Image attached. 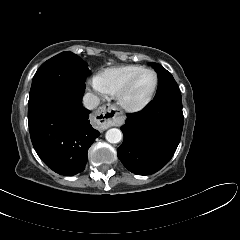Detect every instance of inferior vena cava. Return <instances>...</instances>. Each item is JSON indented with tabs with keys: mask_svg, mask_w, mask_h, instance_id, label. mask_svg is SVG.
<instances>
[{
	"mask_svg": "<svg viewBox=\"0 0 240 240\" xmlns=\"http://www.w3.org/2000/svg\"><path fill=\"white\" fill-rule=\"evenodd\" d=\"M99 103L100 99L92 93H86L83 97V105L89 110L96 108Z\"/></svg>",
	"mask_w": 240,
	"mask_h": 240,
	"instance_id": "602c4592",
	"label": "inferior vena cava"
}]
</instances>
